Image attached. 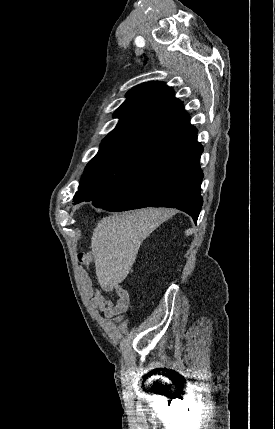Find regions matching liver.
Wrapping results in <instances>:
<instances>
[{"mask_svg": "<svg viewBox=\"0 0 275 429\" xmlns=\"http://www.w3.org/2000/svg\"><path fill=\"white\" fill-rule=\"evenodd\" d=\"M171 215L163 208H146L101 219L91 238L96 275L108 291L124 281L143 240Z\"/></svg>", "mask_w": 275, "mask_h": 429, "instance_id": "obj_1", "label": "liver"}]
</instances>
